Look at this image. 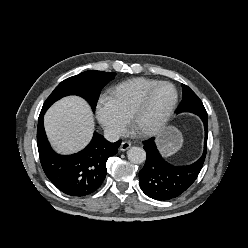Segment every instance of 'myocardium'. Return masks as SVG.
Here are the masks:
<instances>
[{"instance_id":"1","label":"myocardium","mask_w":248,"mask_h":248,"mask_svg":"<svg viewBox=\"0 0 248 248\" xmlns=\"http://www.w3.org/2000/svg\"><path fill=\"white\" fill-rule=\"evenodd\" d=\"M160 86H169L173 89V91H174L173 101L170 104L167 111L155 123H153L152 125H150L148 127H141L139 125L140 118H141L142 114L144 113L145 109L147 108L152 95L157 90V88H159ZM177 103H178V91H177V88L175 87V85L168 82V81L157 82L156 84L151 86L145 92V94L143 95L141 100L134 107V109L130 115V118H129V122H130V126H131L132 130L136 134L143 136V137H149V136H153V135L157 134L165 127V125L168 123V121L172 117V115L176 109Z\"/></svg>"}]
</instances>
